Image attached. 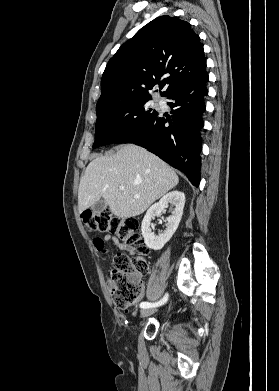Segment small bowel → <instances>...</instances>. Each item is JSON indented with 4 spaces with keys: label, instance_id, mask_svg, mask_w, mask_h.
I'll return each instance as SVG.
<instances>
[{
    "label": "small bowel",
    "instance_id": "obj_1",
    "mask_svg": "<svg viewBox=\"0 0 279 391\" xmlns=\"http://www.w3.org/2000/svg\"><path fill=\"white\" fill-rule=\"evenodd\" d=\"M106 242H110V241H113L114 245L119 249V250H122V251H125L131 255L135 254L136 252V249L132 246H129V245H125L117 240H114L111 236H106L105 239H104Z\"/></svg>",
    "mask_w": 279,
    "mask_h": 391
}]
</instances>
